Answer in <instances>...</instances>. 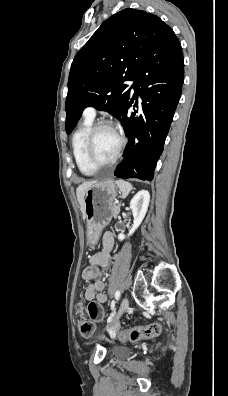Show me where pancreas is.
<instances>
[{
  "label": "pancreas",
  "mask_w": 228,
  "mask_h": 396,
  "mask_svg": "<svg viewBox=\"0 0 228 396\" xmlns=\"http://www.w3.org/2000/svg\"><path fill=\"white\" fill-rule=\"evenodd\" d=\"M119 209H120V206H119V205H116V204L113 205V216H112V219H113V220H116V219H117L116 214H118Z\"/></svg>",
  "instance_id": "pancreas-1"
}]
</instances>
